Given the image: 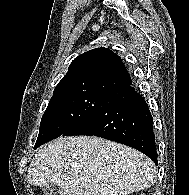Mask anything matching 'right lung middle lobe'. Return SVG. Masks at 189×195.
<instances>
[{
  "mask_svg": "<svg viewBox=\"0 0 189 195\" xmlns=\"http://www.w3.org/2000/svg\"><path fill=\"white\" fill-rule=\"evenodd\" d=\"M108 95L87 89L54 93L42 117L34 149L79 125Z\"/></svg>",
  "mask_w": 189,
  "mask_h": 195,
  "instance_id": "dd1d6c3e",
  "label": "right lung middle lobe"
}]
</instances>
